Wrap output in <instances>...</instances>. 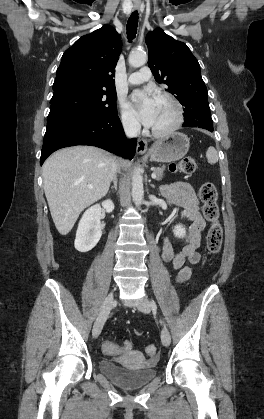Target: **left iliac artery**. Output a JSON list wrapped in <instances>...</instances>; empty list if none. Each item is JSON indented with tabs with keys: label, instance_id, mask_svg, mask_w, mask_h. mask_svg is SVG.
I'll return each instance as SVG.
<instances>
[{
	"label": "left iliac artery",
	"instance_id": "44dca946",
	"mask_svg": "<svg viewBox=\"0 0 264 419\" xmlns=\"http://www.w3.org/2000/svg\"><path fill=\"white\" fill-rule=\"evenodd\" d=\"M151 304H152V307L153 308H156V304H155V302L153 300L151 301Z\"/></svg>",
	"mask_w": 264,
	"mask_h": 419
}]
</instances>
